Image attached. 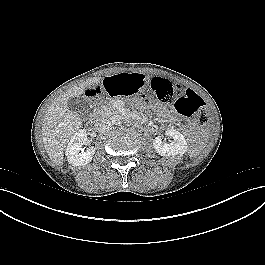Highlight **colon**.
<instances>
[{
    "instance_id": "obj_1",
    "label": "colon",
    "mask_w": 265,
    "mask_h": 265,
    "mask_svg": "<svg viewBox=\"0 0 265 265\" xmlns=\"http://www.w3.org/2000/svg\"><path fill=\"white\" fill-rule=\"evenodd\" d=\"M152 89L157 100L166 105L174 104L176 110L187 117H194L202 127H209L211 118L203 99L190 89L163 77L152 80Z\"/></svg>"
}]
</instances>
